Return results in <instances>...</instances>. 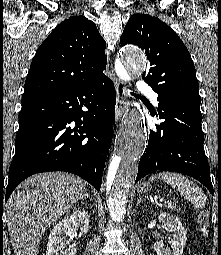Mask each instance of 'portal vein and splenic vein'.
Instances as JSON below:
<instances>
[{
  "label": "portal vein and splenic vein",
  "mask_w": 221,
  "mask_h": 255,
  "mask_svg": "<svg viewBox=\"0 0 221 255\" xmlns=\"http://www.w3.org/2000/svg\"><path fill=\"white\" fill-rule=\"evenodd\" d=\"M167 204H172L171 202H167Z\"/></svg>",
  "instance_id": "portal-vein-and-splenic-vein-1"
}]
</instances>
